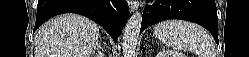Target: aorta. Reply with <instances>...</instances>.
<instances>
[{
	"label": "aorta",
	"mask_w": 249,
	"mask_h": 57,
	"mask_svg": "<svg viewBox=\"0 0 249 57\" xmlns=\"http://www.w3.org/2000/svg\"><path fill=\"white\" fill-rule=\"evenodd\" d=\"M141 23L142 13L139 11H136L127 21L122 36L124 57H135Z\"/></svg>",
	"instance_id": "1"
}]
</instances>
